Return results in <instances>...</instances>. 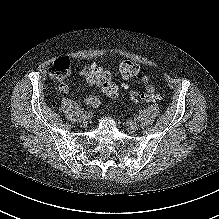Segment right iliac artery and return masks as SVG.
I'll return each instance as SVG.
<instances>
[{"label": "right iliac artery", "instance_id": "right-iliac-artery-1", "mask_svg": "<svg viewBox=\"0 0 219 219\" xmlns=\"http://www.w3.org/2000/svg\"><path fill=\"white\" fill-rule=\"evenodd\" d=\"M80 113H84L85 112V110L84 109H80V111H79Z\"/></svg>", "mask_w": 219, "mask_h": 219}]
</instances>
